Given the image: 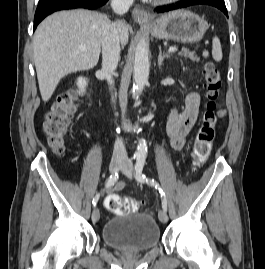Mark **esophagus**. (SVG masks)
Instances as JSON below:
<instances>
[{
  "mask_svg": "<svg viewBox=\"0 0 265 269\" xmlns=\"http://www.w3.org/2000/svg\"><path fill=\"white\" fill-rule=\"evenodd\" d=\"M132 17L138 23H147L151 19L150 15L140 8H134L132 10Z\"/></svg>",
  "mask_w": 265,
  "mask_h": 269,
  "instance_id": "esophagus-1",
  "label": "esophagus"
}]
</instances>
